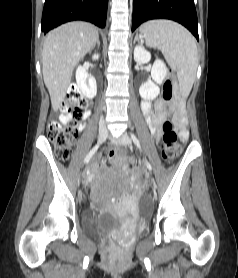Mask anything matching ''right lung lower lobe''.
<instances>
[{
  "label": "right lung lower lobe",
  "instance_id": "right-lung-lower-lobe-1",
  "mask_svg": "<svg viewBox=\"0 0 238 278\" xmlns=\"http://www.w3.org/2000/svg\"><path fill=\"white\" fill-rule=\"evenodd\" d=\"M108 0H45L41 30L51 29L73 20H84L104 28Z\"/></svg>",
  "mask_w": 238,
  "mask_h": 278
}]
</instances>
